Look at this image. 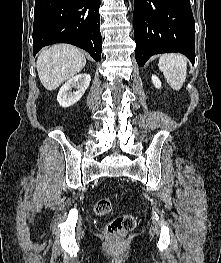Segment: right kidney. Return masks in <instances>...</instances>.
Listing matches in <instances>:
<instances>
[{
  "label": "right kidney",
  "mask_w": 221,
  "mask_h": 263,
  "mask_svg": "<svg viewBox=\"0 0 221 263\" xmlns=\"http://www.w3.org/2000/svg\"><path fill=\"white\" fill-rule=\"evenodd\" d=\"M90 81L91 77L86 73L69 79L58 92L57 101L60 106L66 108L78 102L87 90ZM72 89H76V91L72 92Z\"/></svg>",
  "instance_id": "obj_1"
}]
</instances>
